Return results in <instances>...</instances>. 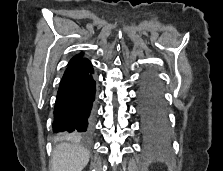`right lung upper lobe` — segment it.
<instances>
[{
    "label": "right lung upper lobe",
    "instance_id": "1",
    "mask_svg": "<svg viewBox=\"0 0 223 171\" xmlns=\"http://www.w3.org/2000/svg\"><path fill=\"white\" fill-rule=\"evenodd\" d=\"M83 53L79 54V55H76L75 57H73L70 62H69V65L73 64V63H76L78 61H81V60H84V59H81Z\"/></svg>",
    "mask_w": 223,
    "mask_h": 171
}]
</instances>
